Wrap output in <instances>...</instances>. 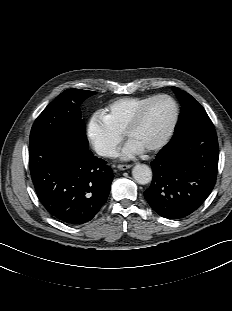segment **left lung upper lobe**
I'll return each mask as SVG.
<instances>
[{
    "mask_svg": "<svg viewBox=\"0 0 232 311\" xmlns=\"http://www.w3.org/2000/svg\"><path fill=\"white\" fill-rule=\"evenodd\" d=\"M173 90L182 105L176 130L183 125L208 117L205 109L190 94L177 87H173Z\"/></svg>",
    "mask_w": 232,
    "mask_h": 311,
    "instance_id": "1",
    "label": "left lung upper lobe"
}]
</instances>
